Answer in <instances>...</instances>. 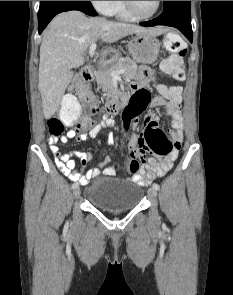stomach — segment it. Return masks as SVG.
Instances as JSON below:
<instances>
[{
    "mask_svg": "<svg viewBox=\"0 0 233 295\" xmlns=\"http://www.w3.org/2000/svg\"><path fill=\"white\" fill-rule=\"evenodd\" d=\"M128 49L134 61L142 64H153L157 61L160 44L151 34L137 33L131 37Z\"/></svg>",
    "mask_w": 233,
    "mask_h": 295,
    "instance_id": "1",
    "label": "stomach"
}]
</instances>
